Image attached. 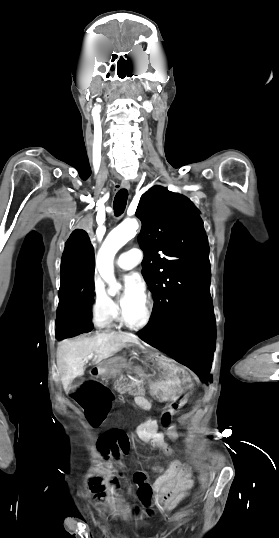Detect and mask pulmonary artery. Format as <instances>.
<instances>
[{
  "label": "pulmonary artery",
  "mask_w": 279,
  "mask_h": 538,
  "mask_svg": "<svg viewBox=\"0 0 279 538\" xmlns=\"http://www.w3.org/2000/svg\"><path fill=\"white\" fill-rule=\"evenodd\" d=\"M137 261L130 258V252H124L116 257L115 264L122 270H130L135 267Z\"/></svg>",
  "instance_id": "1"
}]
</instances>
